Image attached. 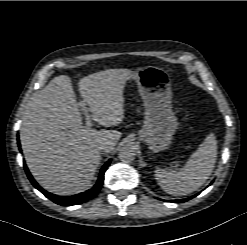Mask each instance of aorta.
Here are the masks:
<instances>
[{
    "label": "aorta",
    "instance_id": "1",
    "mask_svg": "<svg viewBox=\"0 0 247 245\" xmlns=\"http://www.w3.org/2000/svg\"><path fill=\"white\" fill-rule=\"evenodd\" d=\"M118 156L122 162L131 163L136 157L135 148L131 145H126L120 149Z\"/></svg>",
    "mask_w": 247,
    "mask_h": 245
}]
</instances>
